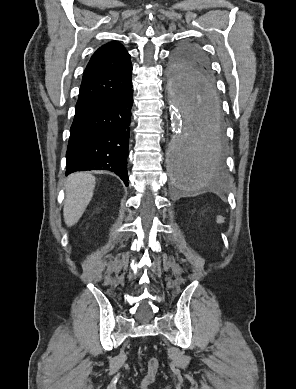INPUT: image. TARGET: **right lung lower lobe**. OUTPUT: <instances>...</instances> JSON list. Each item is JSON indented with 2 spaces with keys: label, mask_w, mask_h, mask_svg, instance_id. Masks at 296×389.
I'll return each instance as SVG.
<instances>
[{
  "label": "right lung lower lobe",
  "mask_w": 296,
  "mask_h": 389,
  "mask_svg": "<svg viewBox=\"0 0 296 389\" xmlns=\"http://www.w3.org/2000/svg\"><path fill=\"white\" fill-rule=\"evenodd\" d=\"M132 83L120 94L75 109L66 152V175L109 170L128 186L127 156Z\"/></svg>",
  "instance_id": "98d812e1"
}]
</instances>
